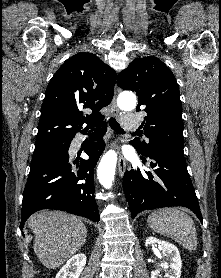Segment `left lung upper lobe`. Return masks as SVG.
Returning <instances> with one entry per match:
<instances>
[{"instance_id":"5c2ea615","label":"left lung upper lobe","mask_w":221,"mask_h":278,"mask_svg":"<svg viewBox=\"0 0 221 278\" xmlns=\"http://www.w3.org/2000/svg\"><path fill=\"white\" fill-rule=\"evenodd\" d=\"M117 85L138 96L136 111L145 106L144 134L149 142L132 141L137 152L147 155L158 146L184 147L182 105L175 76L155 57L134 59L117 79Z\"/></svg>"}]
</instances>
